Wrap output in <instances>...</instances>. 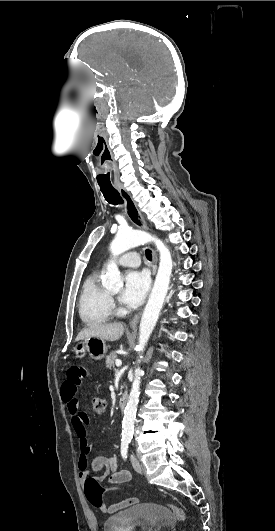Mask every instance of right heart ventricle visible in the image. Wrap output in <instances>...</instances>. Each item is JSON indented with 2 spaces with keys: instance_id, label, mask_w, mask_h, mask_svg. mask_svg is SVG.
Wrapping results in <instances>:
<instances>
[{
  "instance_id": "1",
  "label": "right heart ventricle",
  "mask_w": 275,
  "mask_h": 531,
  "mask_svg": "<svg viewBox=\"0 0 275 531\" xmlns=\"http://www.w3.org/2000/svg\"><path fill=\"white\" fill-rule=\"evenodd\" d=\"M79 313L90 325L106 323L112 315L111 297L101 286L99 276L88 275L82 283L79 295Z\"/></svg>"
}]
</instances>
